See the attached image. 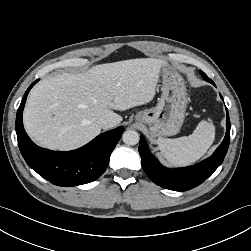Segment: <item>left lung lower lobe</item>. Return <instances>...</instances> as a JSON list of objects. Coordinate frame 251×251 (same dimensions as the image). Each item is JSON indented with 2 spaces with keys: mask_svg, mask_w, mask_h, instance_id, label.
<instances>
[{
  "mask_svg": "<svg viewBox=\"0 0 251 251\" xmlns=\"http://www.w3.org/2000/svg\"><path fill=\"white\" fill-rule=\"evenodd\" d=\"M221 99L223 100L222 96ZM226 125L225 138L212 156L198 164L185 168L169 169L162 166L151 154L145 138L141 136L139 153L145 173L154 183L170 190L187 191L200 185L221 165L227 153L231 127L228 110Z\"/></svg>",
  "mask_w": 251,
  "mask_h": 251,
  "instance_id": "0a47b994",
  "label": "left lung lower lobe"
}]
</instances>
